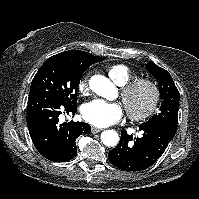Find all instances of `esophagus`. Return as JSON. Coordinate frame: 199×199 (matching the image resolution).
<instances>
[{"label":"esophagus","mask_w":199,"mask_h":199,"mask_svg":"<svg viewBox=\"0 0 199 199\" xmlns=\"http://www.w3.org/2000/svg\"><path fill=\"white\" fill-rule=\"evenodd\" d=\"M91 131H92V133H99V132H101L102 131V129H99V128H95V127H92L91 128Z\"/></svg>","instance_id":"obj_1"}]
</instances>
